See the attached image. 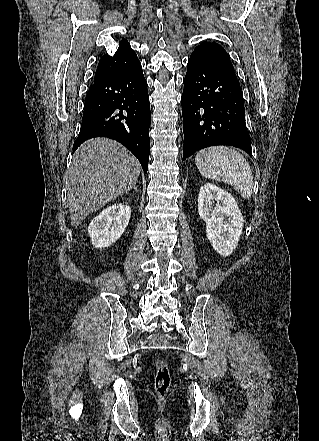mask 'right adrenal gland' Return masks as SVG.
Instances as JSON below:
<instances>
[{
	"mask_svg": "<svg viewBox=\"0 0 319 441\" xmlns=\"http://www.w3.org/2000/svg\"><path fill=\"white\" fill-rule=\"evenodd\" d=\"M134 190H137V187H134Z\"/></svg>",
	"mask_w": 319,
	"mask_h": 441,
	"instance_id": "obj_1",
	"label": "right adrenal gland"
}]
</instances>
